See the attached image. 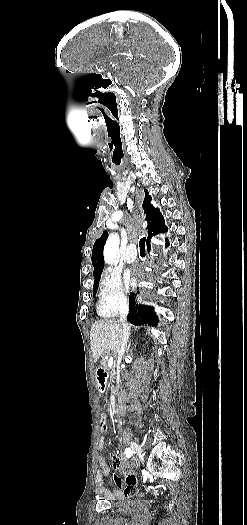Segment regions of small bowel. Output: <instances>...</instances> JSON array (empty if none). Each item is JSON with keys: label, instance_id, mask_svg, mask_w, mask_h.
Listing matches in <instances>:
<instances>
[{"label": "small bowel", "instance_id": "c3829d8e", "mask_svg": "<svg viewBox=\"0 0 247 525\" xmlns=\"http://www.w3.org/2000/svg\"><path fill=\"white\" fill-rule=\"evenodd\" d=\"M105 438L102 436L99 440V450L102 451L104 448ZM99 469L95 476L96 490L101 495H107L110 498L120 499L124 497V492L133 494L136 492L139 482L135 473L128 472L125 474L124 479L120 478L118 474L113 475L115 480L114 485L117 490L113 487L106 489L104 487L105 479L109 476L110 470L107 461L102 453L98 455ZM123 459L119 455L112 457L111 466L115 470H119L123 466Z\"/></svg>", "mask_w": 247, "mask_h": 525}]
</instances>
